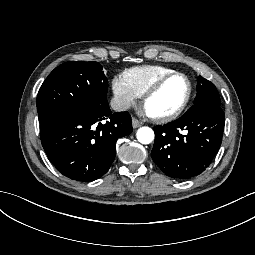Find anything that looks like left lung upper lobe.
<instances>
[{"label": "left lung upper lobe", "mask_w": 255, "mask_h": 255, "mask_svg": "<svg viewBox=\"0 0 255 255\" xmlns=\"http://www.w3.org/2000/svg\"><path fill=\"white\" fill-rule=\"evenodd\" d=\"M194 102H207L217 106L221 105L220 97L215 85L201 76L198 78L197 95Z\"/></svg>", "instance_id": "left-lung-upper-lobe-1"}]
</instances>
